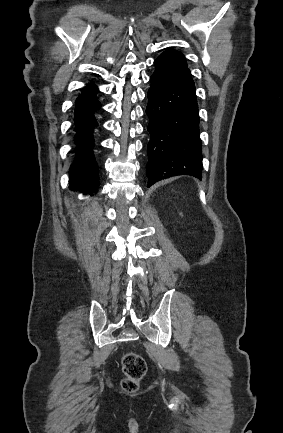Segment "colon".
I'll return each mask as SVG.
<instances>
[{"label": "colon", "instance_id": "obj_1", "mask_svg": "<svg viewBox=\"0 0 283 433\" xmlns=\"http://www.w3.org/2000/svg\"><path fill=\"white\" fill-rule=\"evenodd\" d=\"M122 368L125 378L122 381L124 391L133 393L139 387V382L146 373V362L143 357L134 352H128L123 356Z\"/></svg>", "mask_w": 283, "mask_h": 433}]
</instances>
